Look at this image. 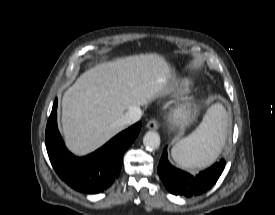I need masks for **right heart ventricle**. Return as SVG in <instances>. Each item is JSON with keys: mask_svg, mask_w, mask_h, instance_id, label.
Wrapping results in <instances>:
<instances>
[{"mask_svg": "<svg viewBox=\"0 0 275 215\" xmlns=\"http://www.w3.org/2000/svg\"><path fill=\"white\" fill-rule=\"evenodd\" d=\"M193 87L192 82H190L189 80H182L179 82L178 86H177V91L181 94H185L191 91Z\"/></svg>", "mask_w": 275, "mask_h": 215, "instance_id": "obj_1", "label": "right heart ventricle"}]
</instances>
